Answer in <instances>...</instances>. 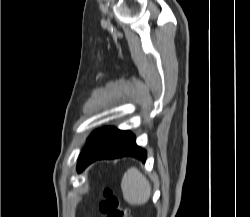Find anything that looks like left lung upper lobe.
I'll list each match as a JSON object with an SVG mask.
<instances>
[{
    "mask_svg": "<svg viewBox=\"0 0 250 217\" xmlns=\"http://www.w3.org/2000/svg\"><path fill=\"white\" fill-rule=\"evenodd\" d=\"M96 132H97V131H96ZM96 132H94V133L92 134V136H93ZM92 136L88 139V141L92 138Z\"/></svg>",
    "mask_w": 250,
    "mask_h": 217,
    "instance_id": "left-lung-upper-lobe-1",
    "label": "left lung upper lobe"
}]
</instances>
